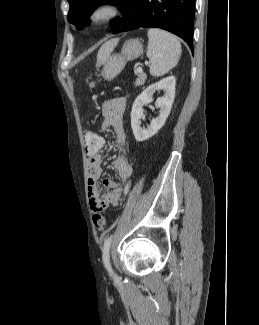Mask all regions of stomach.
Wrapping results in <instances>:
<instances>
[{"instance_id":"obj_1","label":"stomach","mask_w":259,"mask_h":325,"mask_svg":"<svg viewBox=\"0 0 259 325\" xmlns=\"http://www.w3.org/2000/svg\"><path fill=\"white\" fill-rule=\"evenodd\" d=\"M143 53V44L139 39H129L122 47L121 53L113 54L104 63L102 76L105 80H112L124 69L128 61L137 59Z\"/></svg>"}]
</instances>
